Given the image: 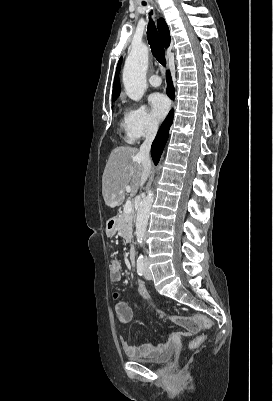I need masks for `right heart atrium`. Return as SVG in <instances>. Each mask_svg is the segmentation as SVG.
<instances>
[{
  "mask_svg": "<svg viewBox=\"0 0 273 401\" xmlns=\"http://www.w3.org/2000/svg\"><path fill=\"white\" fill-rule=\"evenodd\" d=\"M125 130L131 140L150 138L158 131V123L141 105H130L124 113Z\"/></svg>",
  "mask_w": 273,
  "mask_h": 401,
  "instance_id": "1",
  "label": "right heart atrium"
}]
</instances>
